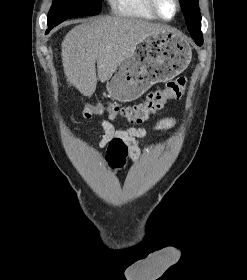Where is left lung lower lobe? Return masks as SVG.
Masks as SVG:
<instances>
[{"label": "left lung lower lobe", "instance_id": "1", "mask_svg": "<svg viewBox=\"0 0 247 280\" xmlns=\"http://www.w3.org/2000/svg\"><path fill=\"white\" fill-rule=\"evenodd\" d=\"M191 36L195 39V42L197 45L201 46L203 44V37L202 36H197L194 33H191Z\"/></svg>", "mask_w": 247, "mask_h": 280}]
</instances>
